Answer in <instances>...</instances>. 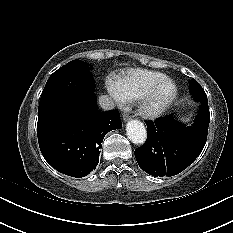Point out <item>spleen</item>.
I'll use <instances>...</instances> for the list:
<instances>
[{
  "label": "spleen",
  "mask_w": 233,
  "mask_h": 233,
  "mask_svg": "<svg viewBox=\"0 0 233 233\" xmlns=\"http://www.w3.org/2000/svg\"><path fill=\"white\" fill-rule=\"evenodd\" d=\"M183 121H188V119L186 118V119H183Z\"/></svg>",
  "instance_id": "3e777b00"
}]
</instances>
